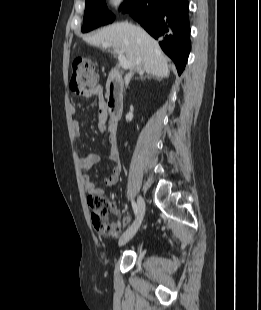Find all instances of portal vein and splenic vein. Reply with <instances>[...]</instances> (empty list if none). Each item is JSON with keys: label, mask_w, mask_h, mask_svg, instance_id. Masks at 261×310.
<instances>
[{"label": "portal vein and splenic vein", "mask_w": 261, "mask_h": 310, "mask_svg": "<svg viewBox=\"0 0 261 310\" xmlns=\"http://www.w3.org/2000/svg\"><path fill=\"white\" fill-rule=\"evenodd\" d=\"M102 46L104 48L112 47V45L109 44V43H104ZM114 51L118 54V59H119L120 65L124 69H128L130 67V64L127 61L126 57L124 56L123 52L121 50H119V49H116V48H114Z\"/></svg>", "instance_id": "18ae733b"}]
</instances>
